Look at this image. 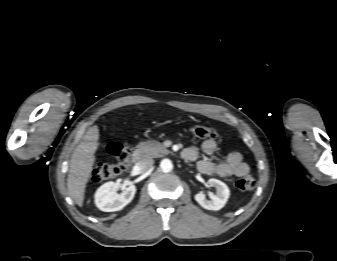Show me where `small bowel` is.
Wrapping results in <instances>:
<instances>
[{"mask_svg": "<svg viewBox=\"0 0 337 261\" xmlns=\"http://www.w3.org/2000/svg\"><path fill=\"white\" fill-rule=\"evenodd\" d=\"M217 144L215 141L206 140L200 148L191 146L186 148L182 156L188 161H196L199 158L200 152L207 156H212L216 153ZM197 169L206 175H217L220 177H242L249 173V167L244 162L243 156L237 151L230 152L226 160L221 163H213L207 159H201L197 162Z\"/></svg>", "mask_w": 337, "mask_h": 261, "instance_id": "c3829d8e", "label": "small bowel"}]
</instances>
